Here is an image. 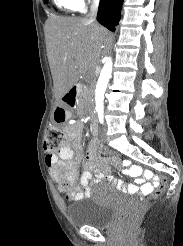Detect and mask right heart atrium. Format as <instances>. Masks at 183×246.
Masks as SVG:
<instances>
[{
  "label": "right heart atrium",
  "mask_w": 183,
  "mask_h": 246,
  "mask_svg": "<svg viewBox=\"0 0 183 246\" xmlns=\"http://www.w3.org/2000/svg\"><path fill=\"white\" fill-rule=\"evenodd\" d=\"M79 9L83 8L87 1L91 0H74Z\"/></svg>",
  "instance_id": "obj_1"
}]
</instances>
